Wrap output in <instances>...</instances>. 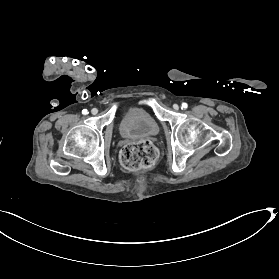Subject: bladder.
Segmentation results:
<instances>
[{"label":"bladder","mask_w":279,"mask_h":279,"mask_svg":"<svg viewBox=\"0 0 279 279\" xmlns=\"http://www.w3.org/2000/svg\"><path fill=\"white\" fill-rule=\"evenodd\" d=\"M129 115L122 121L121 136L126 139H151L158 135L160 124H156L153 115L148 110L139 107L128 109Z\"/></svg>","instance_id":"bladder-1"}]
</instances>
